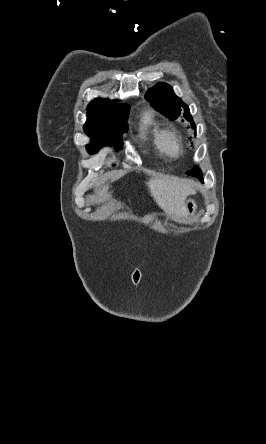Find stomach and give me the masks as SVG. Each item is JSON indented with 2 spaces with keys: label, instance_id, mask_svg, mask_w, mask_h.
Returning a JSON list of instances; mask_svg holds the SVG:
<instances>
[{
  "label": "stomach",
  "instance_id": "1",
  "mask_svg": "<svg viewBox=\"0 0 266 444\" xmlns=\"http://www.w3.org/2000/svg\"><path fill=\"white\" fill-rule=\"evenodd\" d=\"M197 205L193 199H188L185 202V216L187 219H192L195 215Z\"/></svg>",
  "mask_w": 266,
  "mask_h": 444
}]
</instances>
